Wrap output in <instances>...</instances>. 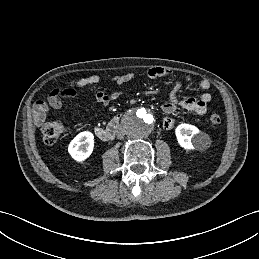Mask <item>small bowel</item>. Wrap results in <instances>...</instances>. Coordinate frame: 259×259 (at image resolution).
Masks as SVG:
<instances>
[{
    "label": "small bowel",
    "instance_id": "c3829d8e",
    "mask_svg": "<svg viewBox=\"0 0 259 259\" xmlns=\"http://www.w3.org/2000/svg\"><path fill=\"white\" fill-rule=\"evenodd\" d=\"M149 78H160L172 75V72L168 69L161 67L150 68L147 71ZM135 78L133 73H125L122 75L112 76L109 81L116 85H123L132 81ZM185 81H190V76L184 77ZM102 80L99 75H91L79 79L76 82L77 87H87L98 84ZM210 82L207 79H202L198 82V87L202 91L200 97H183L179 95L181 83L178 79H174V86L170 93L169 99L162 105V111L166 115H172L175 113L177 107H181L189 112L197 115H204L207 111V104L211 100V94L209 93ZM77 92L72 89L57 88L54 89L47 97L46 100H38L33 106V119L37 126H40L49 114V109H61L66 107L65 100L67 98L75 97ZM119 96L118 92L106 93L104 91H97L95 93L96 100L103 104L108 105L110 102L117 99ZM174 119L167 116L163 119L162 127L165 130H170L174 126Z\"/></svg>",
    "mask_w": 259,
    "mask_h": 259
}]
</instances>
